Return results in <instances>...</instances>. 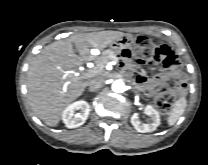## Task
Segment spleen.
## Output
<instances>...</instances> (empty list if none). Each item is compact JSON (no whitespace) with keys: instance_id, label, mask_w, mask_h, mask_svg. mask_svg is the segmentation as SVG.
<instances>
[{"instance_id":"obj_1","label":"spleen","mask_w":208,"mask_h":165,"mask_svg":"<svg viewBox=\"0 0 208 165\" xmlns=\"http://www.w3.org/2000/svg\"><path fill=\"white\" fill-rule=\"evenodd\" d=\"M187 106V101L184 96L180 97L174 104L172 111L167 119L168 125H174L182 116Z\"/></svg>"}]
</instances>
